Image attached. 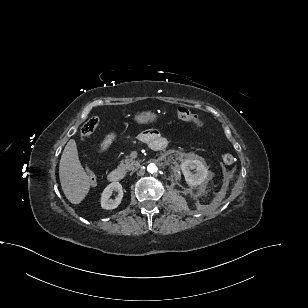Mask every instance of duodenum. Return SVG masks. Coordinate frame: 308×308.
Here are the masks:
<instances>
[{
    "label": "duodenum",
    "mask_w": 308,
    "mask_h": 308,
    "mask_svg": "<svg viewBox=\"0 0 308 308\" xmlns=\"http://www.w3.org/2000/svg\"><path fill=\"white\" fill-rule=\"evenodd\" d=\"M164 147H165L164 141H160L156 146L157 149H162ZM123 178H124V173L120 169H113L108 174L109 181L113 183L120 182Z\"/></svg>",
    "instance_id": "410a0bca"
}]
</instances>
